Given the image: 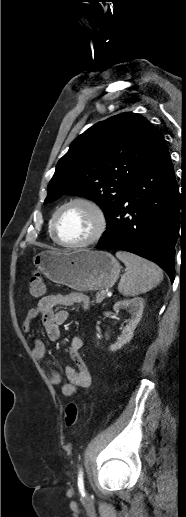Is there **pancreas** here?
Masks as SVG:
<instances>
[{
    "label": "pancreas",
    "instance_id": "1",
    "mask_svg": "<svg viewBox=\"0 0 186 517\" xmlns=\"http://www.w3.org/2000/svg\"><path fill=\"white\" fill-rule=\"evenodd\" d=\"M106 297V294L101 292L96 293V303H101Z\"/></svg>",
    "mask_w": 186,
    "mask_h": 517
}]
</instances>
